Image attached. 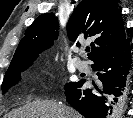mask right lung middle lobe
Returning a JSON list of instances; mask_svg holds the SVG:
<instances>
[{"label":"right lung middle lobe","instance_id":"dd1d6c3e","mask_svg":"<svg viewBox=\"0 0 133 118\" xmlns=\"http://www.w3.org/2000/svg\"><path fill=\"white\" fill-rule=\"evenodd\" d=\"M31 64H32V62H29V63H24V64H18V65L8 68V70L5 74L3 83H2L3 92H6V90L8 88L17 84L21 79L20 72L29 68L31 66ZM74 83L75 82H70V83L66 84L65 86L72 85Z\"/></svg>","mask_w":133,"mask_h":118}]
</instances>
